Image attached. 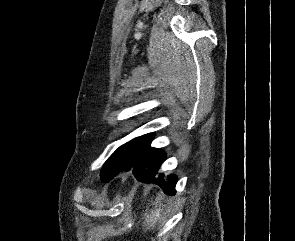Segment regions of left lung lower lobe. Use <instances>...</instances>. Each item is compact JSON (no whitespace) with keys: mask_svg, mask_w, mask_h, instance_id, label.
Returning a JSON list of instances; mask_svg holds the SVG:
<instances>
[{"mask_svg":"<svg viewBox=\"0 0 295 241\" xmlns=\"http://www.w3.org/2000/svg\"><path fill=\"white\" fill-rule=\"evenodd\" d=\"M165 153L159 149L149 147L140 157L124 167L122 171H132L135 178L143 183L159 185L168 195L175 194L177 178L175 175H157L160 165L165 160Z\"/></svg>","mask_w":295,"mask_h":241,"instance_id":"obj_1","label":"left lung lower lobe"}]
</instances>
